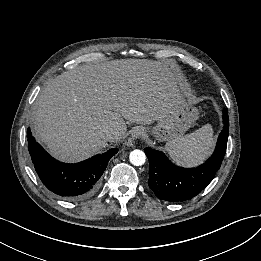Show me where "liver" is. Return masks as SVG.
<instances>
[{"mask_svg":"<svg viewBox=\"0 0 261 261\" xmlns=\"http://www.w3.org/2000/svg\"><path fill=\"white\" fill-rule=\"evenodd\" d=\"M187 88L174 65L147 59L89 63L50 80L32 111L35 136L65 162L102 149L104 130L124 137V121L152 124L185 103ZM114 140V141H117Z\"/></svg>","mask_w":261,"mask_h":261,"instance_id":"liver-1","label":"liver"}]
</instances>
